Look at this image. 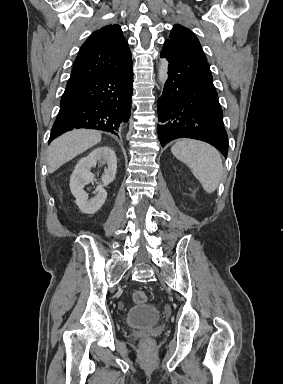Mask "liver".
<instances>
[{
	"label": "liver",
	"mask_w": 283,
	"mask_h": 384,
	"mask_svg": "<svg viewBox=\"0 0 283 384\" xmlns=\"http://www.w3.org/2000/svg\"><path fill=\"white\" fill-rule=\"evenodd\" d=\"M99 142H101V132H97V130H73V132H66L60 138H56L48 148L49 174H53L60 166L73 160L82 152H86L92 146H96Z\"/></svg>",
	"instance_id": "obj_1"
}]
</instances>
